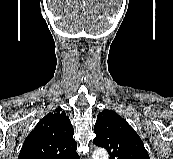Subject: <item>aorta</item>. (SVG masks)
<instances>
[{"mask_svg": "<svg viewBox=\"0 0 173 159\" xmlns=\"http://www.w3.org/2000/svg\"><path fill=\"white\" fill-rule=\"evenodd\" d=\"M93 159H109V156L105 149L98 148L93 152Z\"/></svg>", "mask_w": 173, "mask_h": 159, "instance_id": "obj_1", "label": "aorta"}]
</instances>
